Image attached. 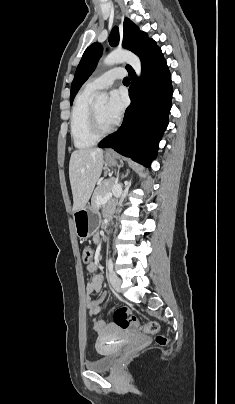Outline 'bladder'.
Instances as JSON below:
<instances>
[{
  "label": "bladder",
  "mask_w": 235,
  "mask_h": 404,
  "mask_svg": "<svg viewBox=\"0 0 235 404\" xmlns=\"http://www.w3.org/2000/svg\"><path fill=\"white\" fill-rule=\"evenodd\" d=\"M97 351L100 352L102 354V356H100L95 361L87 362L85 364V366L89 370L95 371V372L110 371L114 367V365L120 355V351L117 350V351H114L111 353H102L105 350L103 348H101L99 345L97 346Z\"/></svg>",
  "instance_id": "31cf9c89"
}]
</instances>
